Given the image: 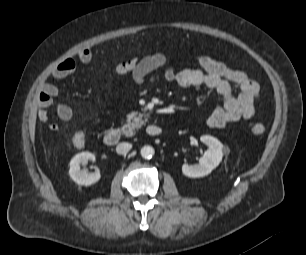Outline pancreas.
Here are the masks:
<instances>
[{
  "instance_id": "1",
  "label": "pancreas",
  "mask_w": 306,
  "mask_h": 255,
  "mask_svg": "<svg viewBox=\"0 0 306 255\" xmlns=\"http://www.w3.org/2000/svg\"><path fill=\"white\" fill-rule=\"evenodd\" d=\"M127 124L123 126V133L127 136H131L135 129H140L145 124L143 114L133 111L127 115Z\"/></svg>"
}]
</instances>
